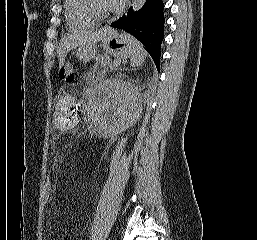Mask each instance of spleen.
<instances>
[{
    "instance_id": "spleen-1",
    "label": "spleen",
    "mask_w": 257,
    "mask_h": 240,
    "mask_svg": "<svg viewBox=\"0 0 257 240\" xmlns=\"http://www.w3.org/2000/svg\"><path fill=\"white\" fill-rule=\"evenodd\" d=\"M128 41L131 43V53L130 62L131 66H140L146 59L147 52L145 51L143 45H141L135 38L130 35L124 34Z\"/></svg>"
}]
</instances>
